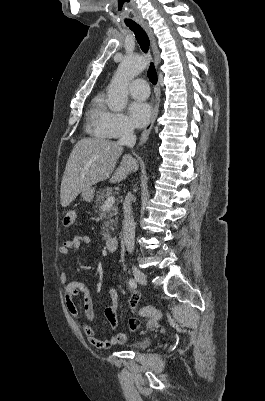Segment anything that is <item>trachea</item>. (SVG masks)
Here are the masks:
<instances>
[{
	"mask_svg": "<svg viewBox=\"0 0 265 401\" xmlns=\"http://www.w3.org/2000/svg\"><path fill=\"white\" fill-rule=\"evenodd\" d=\"M126 25L130 28V30L135 33L136 40L138 41L141 50L147 53L149 50L150 42L146 32L135 22L126 23ZM148 78L153 85H156L158 77L154 67V63H150Z\"/></svg>",
	"mask_w": 265,
	"mask_h": 401,
	"instance_id": "obj_1",
	"label": "trachea"
}]
</instances>
